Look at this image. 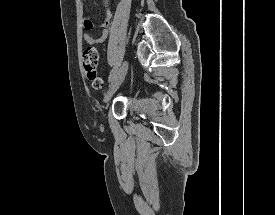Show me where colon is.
<instances>
[{
    "label": "colon",
    "instance_id": "obj_1",
    "mask_svg": "<svg viewBox=\"0 0 275 215\" xmlns=\"http://www.w3.org/2000/svg\"><path fill=\"white\" fill-rule=\"evenodd\" d=\"M99 54L95 47L87 46L82 52V65L85 76L95 89L103 88V81L97 74Z\"/></svg>",
    "mask_w": 275,
    "mask_h": 215
}]
</instances>
